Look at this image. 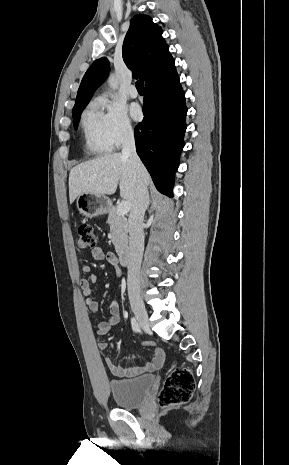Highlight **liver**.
I'll list each match as a JSON object with an SVG mask.
<instances>
[{
	"label": "liver",
	"instance_id": "1",
	"mask_svg": "<svg viewBox=\"0 0 289 465\" xmlns=\"http://www.w3.org/2000/svg\"><path fill=\"white\" fill-rule=\"evenodd\" d=\"M148 185L149 174L144 166L134 169L121 153H111L73 167L69 174L70 202L82 193L111 195L120 187V196L133 207L137 198V176Z\"/></svg>",
	"mask_w": 289,
	"mask_h": 465
}]
</instances>
